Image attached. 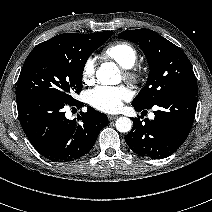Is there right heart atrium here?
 I'll return each mask as SVG.
<instances>
[{"mask_svg": "<svg viewBox=\"0 0 212 212\" xmlns=\"http://www.w3.org/2000/svg\"><path fill=\"white\" fill-rule=\"evenodd\" d=\"M96 72L95 60L89 58L85 61L82 68V79L86 84H91L94 81Z\"/></svg>", "mask_w": 212, "mask_h": 212, "instance_id": "d8ad5b80", "label": "right heart atrium"}]
</instances>
